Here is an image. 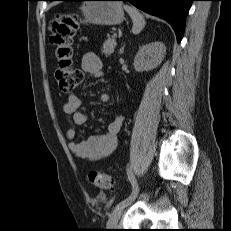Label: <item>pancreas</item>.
<instances>
[{
  "instance_id": "pancreas-1",
  "label": "pancreas",
  "mask_w": 231,
  "mask_h": 231,
  "mask_svg": "<svg viewBox=\"0 0 231 231\" xmlns=\"http://www.w3.org/2000/svg\"><path fill=\"white\" fill-rule=\"evenodd\" d=\"M115 47H116L115 38L114 37L108 38L103 43L102 53L106 56H109L114 52Z\"/></svg>"
}]
</instances>
